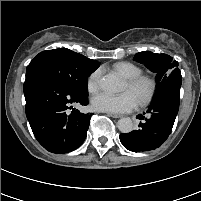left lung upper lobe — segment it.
<instances>
[{"mask_svg": "<svg viewBox=\"0 0 201 201\" xmlns=\"http://www.w3.org/2000/svg\"><path fill=\"white\" fill-rule=\"evenodd\" d=\"M134 60L143 63L152 72L157 73L155 98L169 90L180 92L182 76L178 68V62L173 60L171 56L143 51L137 53Z\"/></svg>", "mask_w": 201, "mask_h": 201, "instance_id": "5c2ea615", "label": "left lung upper lobe"}]
</instances>
